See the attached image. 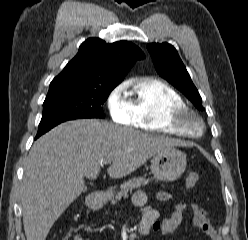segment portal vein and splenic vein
Masks as SVG:
<instances>
[{
  "label": "portal vein and splenic vein",
  "instance_id": "1",
  "mask_svg": "<svg viewBox=\"0 0 248 240\" xmlns=\"http://www.w3.org/2000/svg\"><path fill=\"white\" fill-rule=\"evenodd\" d=\"M104 164H111V160H105L103 161Z\"/></svg>",
  "mask_w": 248,
  "mask_h": 240
}]
</instances>
